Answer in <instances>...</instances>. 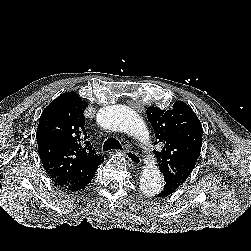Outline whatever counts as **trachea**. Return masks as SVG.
Returning <instances> with one entry per match:
<instances>
[{
  "instance_id": "1",
  "label": "trachea",
  "mask_w": 251,
  "mask_h": 251,
  "mask_svg": "<svg viewBox=\"0 0 251 251\" xmlns=\"http://www.w3.org/2000/svg\"><path fill=\"white\" fill-rule=\"evenodd\" d=\"M111 149L122 150V146L116 138H108L103 145L104 152L109 151Z\"/></svg>"
}]
</instances>
